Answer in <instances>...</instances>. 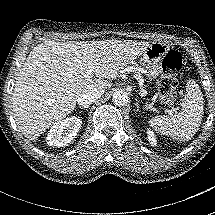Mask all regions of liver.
<instances>
[{
  "label": "liver",
  "instance_id": "6515ba94",
  "mask_svg": "<svg viewBox=\"0 0 215 215\" xmlns=\"http://www.w3.org/2000/svg\"><path fill=\"white\" fill-rule=\"evenodd\" d=\"M150 42L105 39L46 41L27 55L12 93L13 115L21 133L35 141L67 117L78 97L112 87L118 72L136 60ZM96 67L93 78L87 68Z\"/></svg>",
  "mask_w": 215,
  "mask_h": 215
}]
</instances>
